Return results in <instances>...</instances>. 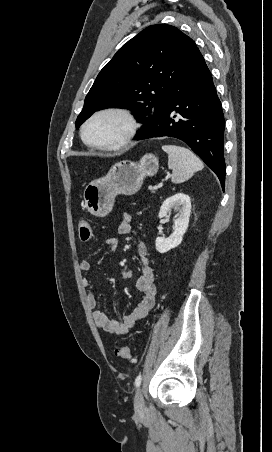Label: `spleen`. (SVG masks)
<instances>
[{"label":"spleen","instance_id":"spleen-1","mask_svg":"<svg viewBox=\"0 0 272 452\" xmlns=\"http://www.w3.org/2000/svg\"><path fill=\"white\" fill-rule=\"evenodd\" d=\"M162 150L168 154V167L172 170L171 181L175 184L185 182L204 167L202 161L187 148L163 145Z\"/></svg>","mask_w":272,"mask_h":452}]
</instances>
